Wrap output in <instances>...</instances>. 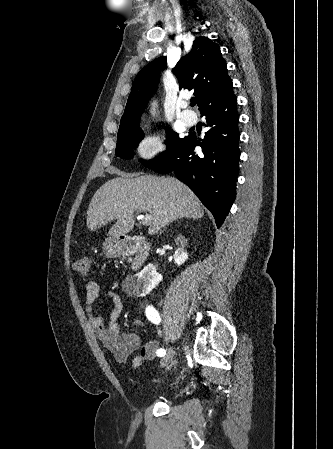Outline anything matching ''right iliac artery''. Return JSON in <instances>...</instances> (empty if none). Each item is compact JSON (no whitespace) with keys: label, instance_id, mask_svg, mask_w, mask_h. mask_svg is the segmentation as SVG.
I'll list each match as a JSON object with an SVG mask.
<instances>
[{"label":"right iliac artery","instance_id":"1","mask_svg":"<svg viewBox=\"0 0 333 449\" xmlns=\"http://www.w3.org/2000/svg\"><path fill=\"white\" fill-rule=\"evenodd\" d=\"M146 315L152 323L158 324L160 322V316L153 306L146 307ZM156 354L157 356H164L166 351L164 349H158Z\"/></svg>","mask_w":333,"mask_h":449}]
</instances>
